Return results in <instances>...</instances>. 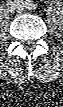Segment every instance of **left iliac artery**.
Here are the masks:
<instances>
[{
    "label": "left iliac artery",
    "instance_id": "44dca946",
    "mask_svg": "<svg viewBox=\"0 0 63 107\" xmlns=\"http://www.w3.org/2000/svg\"><path fill=\"white\" fill-rule=\"evenodd\" d=\"M23 3V2H22ZM25 7L31 8V9H35L36 5H34L33 3H31V1L27 0L25 2Z\"/></svg>",
    "mask_w": 63,
    "mask_h": 107
}]
</instances>
